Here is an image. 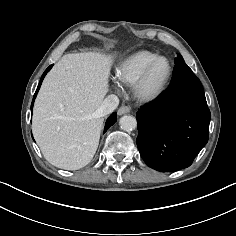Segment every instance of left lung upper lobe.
<instances>
[{
  "label": "left lung upper lobe",
  "mask_w": 236,
  "mask_h": 236,
  "mask_svg": "<svg viewBox=\"0 0 236 236\" xmlns=\"http://www.w3.org/2000/svg\"><path fill=\"white\" fill-rule=\"evenodd\" d=\"M179 63H184V59L182 58L180 54H178L177 58H175V64H179Z\"/></svg>",
  "instance_id": "obj_1"
}]
</instances>
